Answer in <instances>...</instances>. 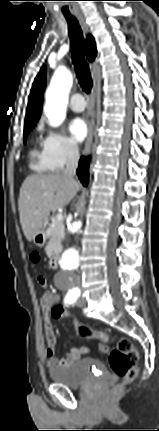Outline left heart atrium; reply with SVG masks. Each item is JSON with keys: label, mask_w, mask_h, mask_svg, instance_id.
Returning <instances> with one entry per match:
<instances>
[{"label": "left heart atrium", "mask_w": 159, "mask_h": 431, "mask_svg": "<svg viewBox=\"0 0 159 431\" xmlns=\"http://www.w3.org/2000/svg\"><path fill=\"white\" fill-rule=\"evenodd\" d=\"M69 132L75 142H81L87 135V125L82 118H74L69 124Z\"/></svg>", "instance_id": "obj_1"}]
</instances>
